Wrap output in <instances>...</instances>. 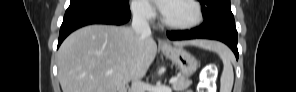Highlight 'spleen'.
Returning <instances> with one entry per match:
<instances>
[{"mask_svg": "<svg viewBox=\"0 0 296 92\" xmlns=\"http://www.w3.org/2000/svg\"><path fill=\"white\" fill-rule=\"evenodd\" d=\"M212 49L215 50L223 62V71L220 78V92H231L234 81V73L232 67V54L221 43H214Z\"/></svg>", "mask_w": 296, "mask_h": 92, "instance_id": "1", "label": "spleen"}]
</instances>
